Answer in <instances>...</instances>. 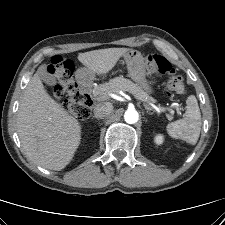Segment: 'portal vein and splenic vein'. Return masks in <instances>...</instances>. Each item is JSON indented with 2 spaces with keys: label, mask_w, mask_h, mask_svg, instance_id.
<instances>
[{
  "label": "portal vein and splenic vein",
  "mask_w": 225,
  "mask_h": 225,
  "mask_svg": "<svg viewBox=\"0 0 225 225\" xmlns=\"http://www.w3.org/2000/svg\"><path fill=\"white\" fill-rule=\"evenodd\" d=\"M136 99L138 100H141V101H146V100H143L142 98H140L139 96L135 95V94H132ZM158 110L162 111V112H165L166 109L163 108V107H159ZM178 114H181L180 112H178Z\"/></svg>",
  "instance_id": "1"
}]
</instances>
